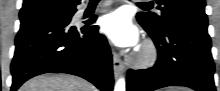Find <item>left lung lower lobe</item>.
I'll list each match as a JSON object with an SVG mask.
<instances>
[{
    "label": "left lung lower lobe",
    "instance_id": "0a47b994",
    "mask_svg": "<svg viewBox=\"0 0 220 91\" xmlns=\"http://www.w3.org/2000/svg\"><path fill=\"white\" fill-rule=\"evenodd\" d=\"M158 49L153 68L128 71L127 91H153L166 86H186L196 91H215L211 39L207 27L175 24L161 33L147 29Z\"/></svg>",
    "mask_w": 220,
    "mask_h": 91
}]
</instances>
